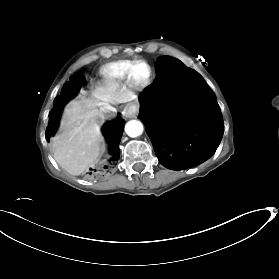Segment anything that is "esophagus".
Instances as JSON below:
<instances>
[{
	"label": "esophagus",
	"instance_id": "obj_1",
	"mask_svg": "<svg viewBox=\"0 0 279 279\" xmlns=\"http://www.w3.org/2000/svg\"><path fill=\"white\" fill-rule=\"evenodd\" d=\"M139 112V105L136 103H129L124 108L125 116H135Z\"/></svg>",
	"mask_w": 279,
	"mask_h": 279
}]
</instances>
